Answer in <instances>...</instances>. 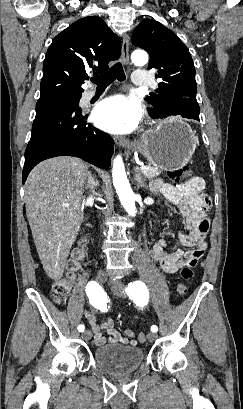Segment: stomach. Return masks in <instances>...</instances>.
Returning <instances> with one entry per match:
<instances>
[{
	"instance_id": "1",
	"label": "stomach",
	"mask_w": 243,
	"mask_h": 409,
	"mask_svg": "<svg viewBox=\"0 0 243 409\" xmlns=\"http://www.w3.org/2000/svg\"><path fill=\"white\" fill-rule=\"evenodd\" d=\"M194 131L178 118H168L144 132L134 150L143 154L154 167L175 171L185 166L195 152Z\"/></svg>"
}]
</instances>
